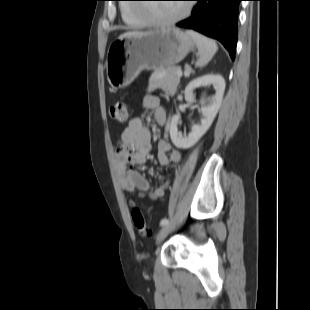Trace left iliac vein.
Instances as JSON below:
<instances>
[{"instance_id":"1","label":"left iliac vein","mask_w":310,"mask_h":310,"mask_svg":"<svg viewBox=\"0 0 310 310\" xmlns=\"http://www.w3.org/2000/svg\"><path fill=\"white\" fill-rule=\"evenodd\" d=\"M172 229H173V225L172 224L168 223L167 225H164L160 229V231H159V233H158V235L156 237V242L157 243L162 242L168 236V234L172 231Z\"/></svg>"}]
</instances>
